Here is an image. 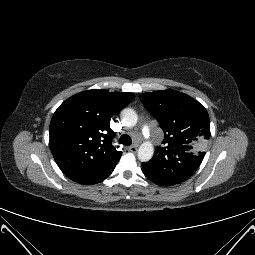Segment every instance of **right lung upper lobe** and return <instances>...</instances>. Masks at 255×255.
Masks as SVG:
<instances>
[{
    "mask_svg": "<svg viewBox=\"0 0 255 255\" xmlns=\"http://www.w3.org/2000/svg\"><path fill=\"white\" fill-rule=\"evenodd\" d=\"M134 95L87 90L65 100L50 122V148L62 172L80 184H95L114 170L122 152L112 145L110 119Z\"/></svg>",
    "mask_w": 255,
    "mask_h": 255,
    "instance_id": "right-lung-upper-lobe-1",
    "label": "right lung upper lobe"
}]
</instances>
